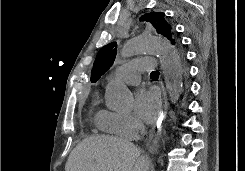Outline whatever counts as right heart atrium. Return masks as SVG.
<instances>
[{
  "mask_svg": "<svg viewBox=\"0 0 245 171\" xmlns=\"http://www.w3.org/2000/svg\"><path fill=\"white\" fill-rule=\"evenodd\" d=\"M98 126L104 132L129 139L136 136L140 127L133 116L110 111L102 113Z\"/></svg>",
  "mask_w": 245,
  "mask_h": 171,
  "instance_id": "right-heart-atrium-1",
  "label": "right heart atrium"
}]
</instances>
